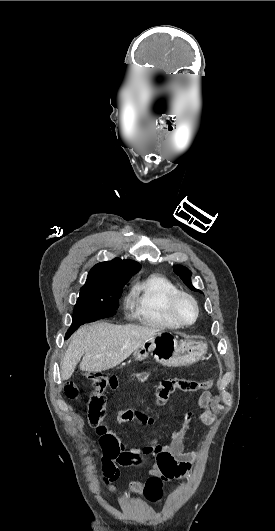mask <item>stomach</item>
Masks as SVG:
<instances>
[{"mask_svg": "<svg viewBox=\"0 0 275 531\" xmlns=\"http://www.w3.org/2000/svg\"><path fill=\"white\" fill-rule=\"evenodd\" d=\"M208 351L203 341H180L168 331H162L141 343L133 353L134 361H144L149 355L163 367H189L202 361Z\"/></svg>", "mask_w": 275, "mask_h": 531, "instance_id": "1", "label": "stomach"}]
</instances>
